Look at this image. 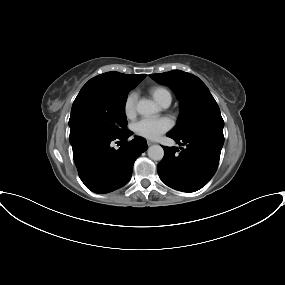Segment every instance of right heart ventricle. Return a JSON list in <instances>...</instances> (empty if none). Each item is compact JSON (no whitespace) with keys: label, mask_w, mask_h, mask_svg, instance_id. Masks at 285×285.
Here are the masks:
<instances>
[{"label":"right heart ventricle","mask_w":285,"mask_h":285,"mask_svg":"<svg viewBox=\"0 0 285 285\" xmlns=\"http://www.w3.org/2000/svg\"><path fill=\"white\" fill-rule=\"evenodd\" d=\"M150 94L155 99V101L158 102L160 105L164 101H167V100L171 101L172 100L171 92L163 86L152 87L150 89Z\"/></svg>","instance_id":"obj_1"}]
</instances>
